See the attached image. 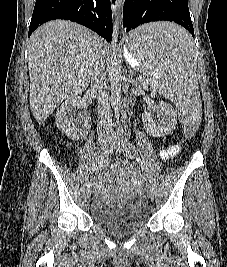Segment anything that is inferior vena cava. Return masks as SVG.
I'll use <instances>...</instances> for the list:
<instances>
[{
  "label": "inferior vena cava",
  "instance_id": "obj_1",
  "mask_svg": "<svg viewBox=\"0 0 227 267\" xmlns=\"http://www.w3.org/2000/svg\"><path fill=\"white\" fill-rule=\"evenodd\" d=\"M104 52L97 48L92 64L91 89L98 100V134L100 137L112 133L110 98L104 81Z\"/></svg>",
  "mask_w": 227,
  "mask_h": 267
}]
</instances>
